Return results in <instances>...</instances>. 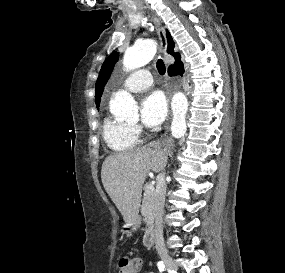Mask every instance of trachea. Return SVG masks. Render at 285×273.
Returning a JSON list of instances; mask_svg holds the SVG:
<instances>
[{"label":"trachea","mask_w":285,"mask_h":273,"mask_svg":"<svg viewBox=\"0 0 285 273\" xmlns=\"http://www.w3.org/2000/svg\"><path fill=\"white\" fill-rule=\"evenodd\" d=\"M157 70L160 75H164L166 72V67L162 59H158L156 63Z\"/></svg>","instance_id":"1"}]
</instances>
